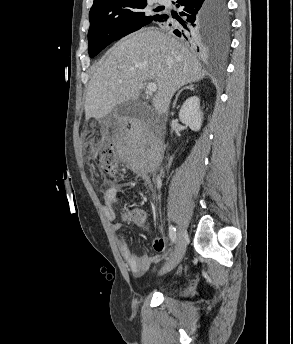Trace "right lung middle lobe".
<instances>
[{
	"instance_id": "1",
	"label": "right lung middle lobe",
	"mask_w": 293,
	"mask_h": 344,
	"mask_svg": "<svg viewBox=\"0 0 293 344\" xmlns=\"http://www.w3.org/2000/svg\"><path fill=\"white\" fill-rule=\"evenodd\" d=\"M147 0H119L90 11L88 31L89 55L96 56L113 41L158 20L161 15L145 13ZM221 34L228 29L226 0H216L214 17Z\"/></svg>"
}]
</instances>
